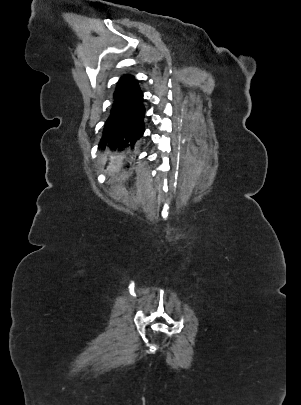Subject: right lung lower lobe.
Here are the masks:
<instances>
[{
	"label": "right lung lower lobe",
	"instance_id": "obj_1",
	"mask_svg": "<svg viewBox=\"0 0 301 405\" xmlns=\"http://www.w3.org/2000/svg\"><path fill=\"white\" fill-rule=\"evenodd\" d=\"M113 104L103 128L99 147H134L144 133L143 93L131 75L117 83Z\"/></svg>",
	"mask_w": 301,
	"mask_h": 405
}]
</instances>
